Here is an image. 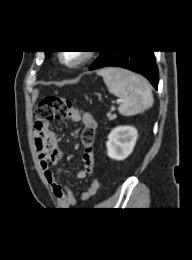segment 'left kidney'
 Segmentation results:
<instances>
[{
	"label": "left kidney",
	"mask_w": 192,
	"mask_h": 260,
	"mask_svg": "<svg viewBox=\"0 0 192 260\" xmlns=\"http://www.w3.org/2000/svg\"><path fill=\"white\" fill-rule=\"evenodd\" d=\"M138 131L131 126H119L108 135L106 143L107 154L110 158L121 161L126 159L133 151Z\"/></svg>",
	"instance_id": "left-kidney-1"
}]
</instances>
